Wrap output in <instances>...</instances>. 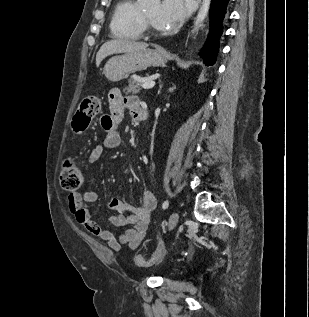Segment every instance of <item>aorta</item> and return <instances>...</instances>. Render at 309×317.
Returning a JSON list of instances; mask_svg holds the SVG:
<instances>
[{
	"mask_svg": "<svg viewBox=\"0 0 309 317\" xmlns=\"http://www.w3.org/2000/svg\"><path fill=\"white\" fill-rule=\"evenodd\" d=\"M159 1L160 0H143L145 5H151V4H154V3H159ZM210 3H211V0H203L202 1V4H201L200 9L198 11L196 20L194 22V28L192 30L193 34L196 33L199 30V28L201 27L203 21L207 17V14H208V11H209V8H210Z\"/></svg>",
	"mask_w": 309,
	"mask_h": 317,
	"instance_id": "aorta-1",
	"label": "aorta"
}]
</instances>
